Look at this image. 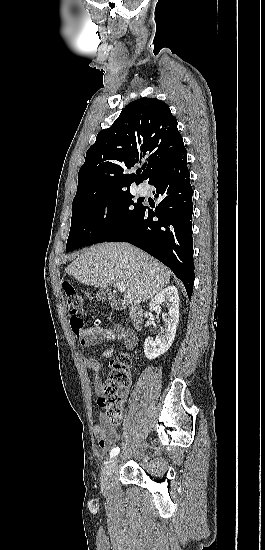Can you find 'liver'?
<instances>
[{"label": "liver", "mask_w": 265, "mask_h": 550, "mask_svg": "<svg viewBox=\"0 0 265 550\" xmlns=\"http://www.w3.org/2000/svg\"><path fill=\"white\" fill-rule=\"evenodd\" d=\"M66 273L83 284L106 289L124 284V300L139 305L169 284L170 270L128 243H101L77 255Z\"/></svg>", "instance_id": "1"}]
</instances>
